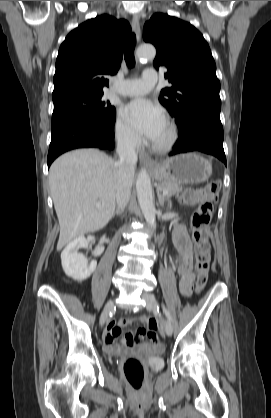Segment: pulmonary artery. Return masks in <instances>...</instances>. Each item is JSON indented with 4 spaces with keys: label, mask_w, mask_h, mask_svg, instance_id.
<instances>
[{
    "label": "pulmonary artery",
    "mask_w": 271,
    "mask_h": 418,
    "mask_svg": "<svg viewBox=\"0 0 271 418\" xmlns=\"http://www.w3.org/2000/svg\"><path fill=\"white\" fill-rule=\"evenodd\" d=\"M157 81V72L154 69H146L141 78L123 81L115 86L113 90L122 96H140L148 93Z\"/></svg>",
    "instance_id": "pulmonary-artery-1"
}]
</instances>
